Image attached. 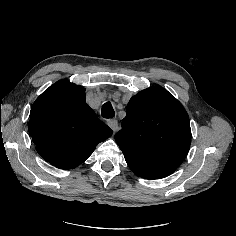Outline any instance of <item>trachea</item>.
Returning a JSON list of instances; mask_svg holds the SVG:
<instances>
[{
	"label": "trachea",
	"mask_w": 236,
	"mask_h": 236,
	"mask_svg": "<svg viewBox=\"0 0 236 236\" xmlns=\"http://www.w3.org/2000/svg\"><path fill=\"white\" fill-rule=\"evenodd\" d=\"M101 114L104 118H112L115 115L111 102L103 104Z\"/></svg>",
	"instance_id": "trachea-1"
}]
</instances>
